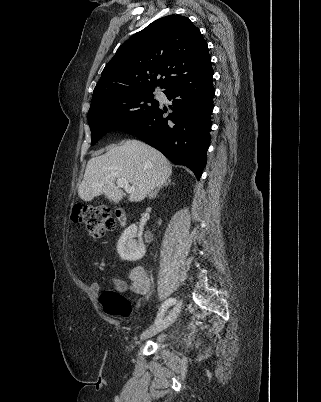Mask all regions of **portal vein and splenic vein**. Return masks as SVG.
<instances>
[{
  "mask_svg": "<svg viewBox=\"0 0 321 402\" xmlns=\"http://www.w3.org/2000/svg\"><path fill=\"white\" fill-rule=\"evenodd\" d=\"M116 184L118 187L124 188L127 193H132L135 191V187L130 186L128 180L124 178L117 179Z\"/></svg>",
  "mask_w": 321,
  "mask_h": 402,
  "instance_id": "obj_1",
  "label": "portal vein and splenic vein"
}]
</instances>
